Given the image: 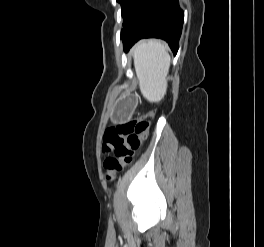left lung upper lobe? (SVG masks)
<instances>
[{
    "label": "left lung upper lobe",
    "instance_id": "5c2ea615",
    "mask_svg": "<svg viewBox=\"0 0 264 247\" xmlns=\"http://www.w3.org/2000/svg\"><path fill=\"white\" fill-rule=\"evenodd\" d=\"M121 4L123 27L125 28L146 0H116ZM124 28L121 30L123 32Z\"/></svg>",
    "mask_w": 264,
    "mask_h": 247
}]
</instances>
